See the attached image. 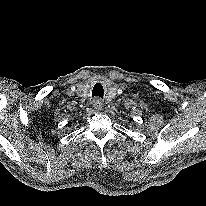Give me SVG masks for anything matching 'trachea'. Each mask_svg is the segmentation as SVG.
Wrapping results in <instances>:
<instances>
[{
  "instance_id": "3493384b",
  "label": "trachea",
  "mask_w": 206,
  "mask_h": 206,
  "mask_svg": "<svg viewBox=\"0 0 206 206\" xmlns=\"http://www.w3.org/2000/svg\"><path fill=\"white\" fill-rule=\"evenodd\" d=\"M104 89L101 83H96L92 90V97H100L103 98Z\"/></svg>"
}]
</instances>
